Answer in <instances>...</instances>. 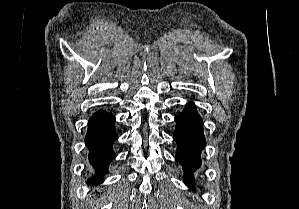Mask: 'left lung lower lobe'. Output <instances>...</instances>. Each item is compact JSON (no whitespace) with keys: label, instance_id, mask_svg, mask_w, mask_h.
I'll return each mask as SVG.
<instances>
[{"label":"left lung lower lobe","instance_id":"1","mask_svg":"<svg viewBox=\"0 0 299 209\" xmlns=\"http://www.w3.org/2000/svg\"><path fill=\"white\" fill-rule=\"evenodd\" d=\"M175 120L173 138L178 145L175 158L183 167L185 184L192 188L195 184L193 173L201 166L200 154L206 145L203 122L193 103H188Z\"/></svg>","mask_w":299,"mask_h":209}]
</instances>
